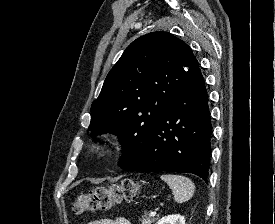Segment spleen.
<instances>
[{"instance_id":"3e777b00","label":"spleen","mask_w":275,"mask_h":224,"mask_svg":"<svg viewBox=\"0 0 275 224\" xmlns=\"http://www.w3.org/2000/svg\"><path fill=\"white\" fill-rule=\"evenodd\" d=\"M160 178L169 185L176 202L183 203L193 196L195 186L189 178L174 174H164Z\"/></svg>"}]
</instances>
